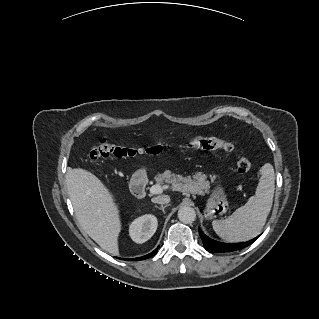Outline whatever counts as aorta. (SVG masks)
I'll return each instance as SVG.
<instances>
[{
    "label": "aorta",
    "mask_w": 319,
    "mask_h": 319,
    "mask_svg": "<svg viewBox=\"0 0 319 319\" xmlns=\"http://www.w3.org/2000/svg\"><path fill=\"white\" fill-rule=\"evenodd\" d=\"M178 219L185 224L193 223L196 220V212L190 206H182L178 210Z\"/></svg>",
    "instance_id": "1"
}]
</instances>
